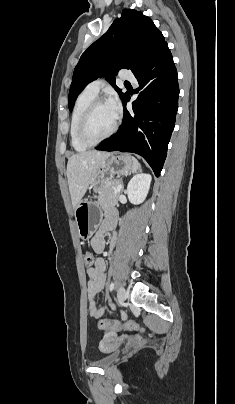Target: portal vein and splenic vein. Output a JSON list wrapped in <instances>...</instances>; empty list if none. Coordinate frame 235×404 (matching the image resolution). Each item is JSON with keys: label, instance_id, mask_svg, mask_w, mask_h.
Wrapping results in <instances>:
<instances>
[{"label": "portal vein and splenic vein", "instance_id": "obj_1", "mask_svg": "<svg viewBox=\"0 0 235 404\" xmlns=\"http://www.w3.org/2000/svg\"><path fill=\"white\" fill-rule=\"evenodd\" d=\"M121 189H122V185H119V186L115 189L114 193L120 192Z\"/></svg>", "mask_w": 235, "mask_h": 404}]
</instances>
